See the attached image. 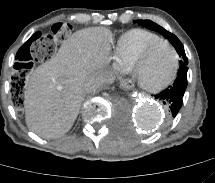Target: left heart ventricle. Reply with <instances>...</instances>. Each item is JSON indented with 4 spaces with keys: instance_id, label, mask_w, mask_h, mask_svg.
Masks as SVG:
<instances>
[{
    "instance_id": "obj_1",
    "label": "left heart ventricle",
    "mask_w": 215,
    "mask_h": 183,
    "mask_svg": "<svg viewBox=\"0 0 215 183\" xmlns=\"http://www.w3.org/2000/svg\"><path fill=\"white\" fill-rule=\"evenodd\" d=\"M174 61L173 51L165 44L158 45L136 67L139 82L147 87L164 83L172 74Z\"/></svg>"
}]
</instances>
